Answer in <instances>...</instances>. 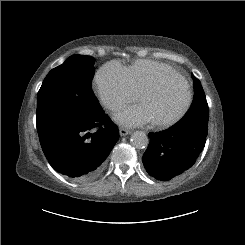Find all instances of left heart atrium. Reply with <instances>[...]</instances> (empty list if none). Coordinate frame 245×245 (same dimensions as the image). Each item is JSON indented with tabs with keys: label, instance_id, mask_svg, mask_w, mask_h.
I'll use <instances>...</instances> for the list:
<instances>
[{
	"label": "left heart atrium",
	"instance_id": "1",
	"mask_svg": "<svg viewBox=\"0 0 245 245\" xmlns=\"http://www.w3.org/2000/svg\"><path fill=\"white\" fill-rule=\"evenodd\" d=\"M115 121L125 127H137L152 122L146 108L141 104L130 106L114 117Z\"/></svg>",
	"mask_w": 245,
	"mask_h": 245
}]
</instances>
